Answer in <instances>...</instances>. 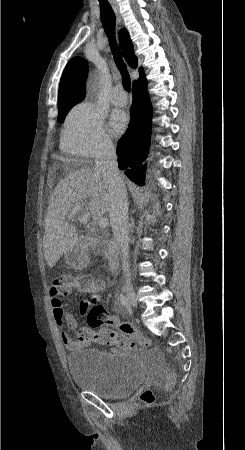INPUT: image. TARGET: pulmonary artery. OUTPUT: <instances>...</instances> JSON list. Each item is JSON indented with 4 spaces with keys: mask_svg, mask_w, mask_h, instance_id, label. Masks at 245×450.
<instances>
[{
    "mask_svg": "<svg viewBox=\"0 0 245 450\" xmlns=\"http://www.w3.org/2000/svg\"><path fill=\"white\" fill-rule=\"evenodd\" d=\"M111 101L117 106H124L127 103V97L121 85L113 88Z\"/></svg>",
    "mask_w": 245,
    "mask_h": 450,
    "instance_id": "e3ab8cb5",
    "label": "pulmonary artery"
}]
</instances>
